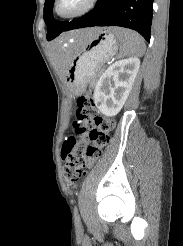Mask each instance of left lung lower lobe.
<instances>
[{
    "instance_id": "0a47b994",
    "label": "left lung lower lobe",
    "mask_w": 183,
    "mask_h": 246,
    "mask_svg": "<svg viewBox=\"0 0 183 246\" xmlns=\"http://www.w3.org/2000/svg\"><path fill=\"white\" fill-rule=\"evenodd\" d=\"M153 0H98L86 15L68 22L64 31L93 26H120L150 41Z\"/></svg>"
}]
</instances>
